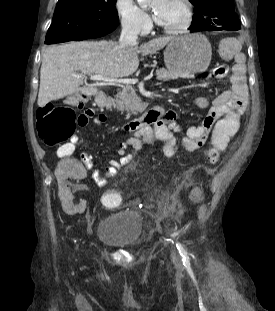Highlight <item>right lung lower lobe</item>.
<instances>
[{
  "label": "right lung lower lobe",
  "instance_id": "1",
  "mask_svg": "<svg viewBox=\"0 0 275 311\" xmlns=\"http://www.w3.org/2000/svg\"><path fill=\"white\" fill-rule=\"evenodd\" d=\"M93 38H96V37L82 36V37H78V38H75V39H71L69 41H80V40H87V39H93Z\"/></svg>",
  "mask_w": 275,
  "mask_h": 311
}]
</instances>
